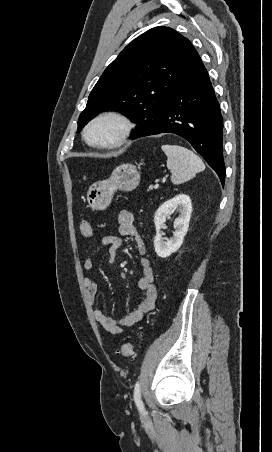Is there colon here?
Instances as JSON below:
<instances>
[{"label":"colon","mask_w":272,"mask_h":452,"mask_svg":"<svg viewBox=\"0 0 272 452\" xmlns=\"http://www.w3.org/2000/svg\"><path fill=\"white\" fill-rule=\"evenodd\" d=\"M80 231L84 237H91L93 235V229L89 221L82 220L80 222ZM118 354L124 358H130L134 356V345L132 343L123 344L118 350Z\"/></svg>","instance_id":"1"}]
</instances>
